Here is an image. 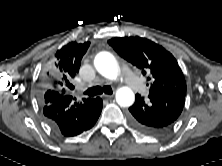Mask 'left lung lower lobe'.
<instances>
[{"label":"left lung lower lobe","instance_id":"1","mask_svg":"<svg viewBox=\"0 0 222 166\" xmlns=\"http://www.w3.org/2000/svg\"><path fill=\"white\" fill-rule=\"evenodd\" d=\"M129 108L130 122L137 130L150 135L163 134L176 121L183 110L185 95L159 92L145 100L139 94Z\"/></svg>","mask_w":222,"mask_h":166}]
</instances>
